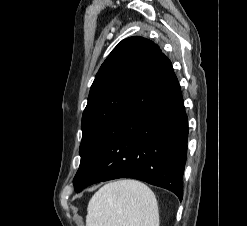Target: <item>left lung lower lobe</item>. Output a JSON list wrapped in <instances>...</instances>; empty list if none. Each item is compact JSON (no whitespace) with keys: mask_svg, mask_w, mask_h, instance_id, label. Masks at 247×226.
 <instances>
[{"mask_svg":"<svg viewBox=\"0 0 247 226\" xmlns=\"http://www.w3.org/2000/svg\"><path fill=\"white\" fill-rule=\"evenodd\" d=\"M188 118L170 60L161 53L78 172L75 190L134 178L183 198Z\"/></svg>","mask_w":247,"mask_h":226,"instance_id":"left-lung-lower-lobe-1","label":"left lung lower lobe"}]
</instances>
